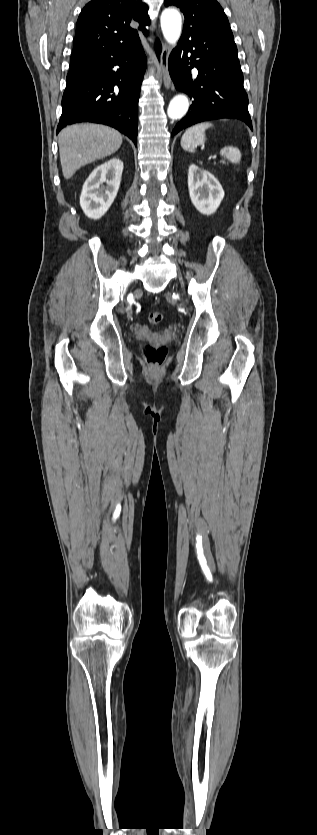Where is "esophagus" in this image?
<instances>
[{
	"label": "esophagus",
	"mask_w": 317,
	"mask_h": 835,
	"mask_svg": "<svg viewBox=\"0 0 317 835\" xmlns=\"http://www.w3.org/2000/svg\"><path fill=\"white\" fill-rule=\"evenodd\" d=\"M169 53H170L169 46L164 45L163 48H162V51H161L160 61H161V73H162L163 83H164V86L167 89L172 88V85H173L172 84V79H171V76H170V73H169V68H168Z\"/></svg>",
	"instance_id": "obj_1"
}]
</instances>
